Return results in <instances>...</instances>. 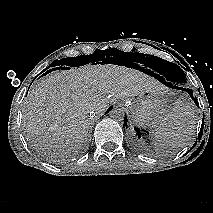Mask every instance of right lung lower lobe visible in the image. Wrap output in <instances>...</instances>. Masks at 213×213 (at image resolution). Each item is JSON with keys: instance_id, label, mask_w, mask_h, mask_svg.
I'll return each mask as SVG.
<instances>
[{"instance_id": "obj_1", "label": "right lung lower lobe", "mask_w": 213, "mask_h": 213, "mask_svg": "<svg viewBox=\"0 0 213 213\" xmlns=\"http://www.w3.org/2000/svg\"><path fill=\"white\" fill-rule=\"evenodd\" d=\"M57 69H60V67H53L52 69L48 70L46 73L51 72L52 70H57ZM111 108L112 107H109L107 112H109L111 110Z\"/></svg>"}]
</instances>
